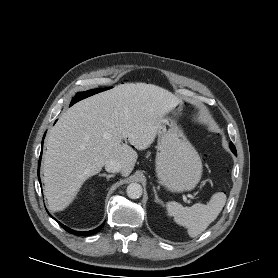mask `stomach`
<instances>
[{"instance_id":"1","label":"stomach","mask_w":278,"mask_h":278,"mask_svg":"<svg viewBox=\"0 0 278 278\" xmlns=\"http://www.w3.org/2000/svg\"><path fill=\"white\" fill-rule=\"evenodd\" d=\"M156 175L172 192L192 190L202 176L198 152L170 118H163L158 129Z\"/></svg>"}]
</instances>
